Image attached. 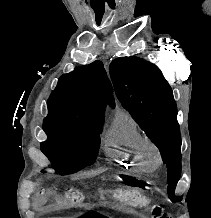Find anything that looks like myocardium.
<instances>
[{
    "mask_svg": "<svg viewBox=\"0 0 211 218\" xmlns=\"http://www.w3.org/2000/svg\"><path fill=\"white\" fill-rule=\"evenodd\" d=\"M141 158L144 161L153 162L156 165L160 164L161 153L153 141L145 140L141 151Z\"/></svg>",
    "mask_w": 211,
    "mask_h": 218,
    "instance_id": "1",
    "label": "myocardium"
}]
</instances>
